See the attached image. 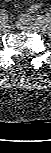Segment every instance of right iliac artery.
<instances>
[{
    "label": "right iliac artery",
    "mask_w": 51,
    "mask_h": 153,
    "mask_svg": "<svg viewBox=\"0 0 51 153\" xmlns=\"http://www.w3.org/2000/svg\"><path fill=\"white\" fill-rule=\"evenodd\" d=\"M0 21H1V23H7V21H8V15H7V11L5 9H2L0 11Z\"/></svg>",
    "instance_id": "82829eb1"
}]
</instances>
